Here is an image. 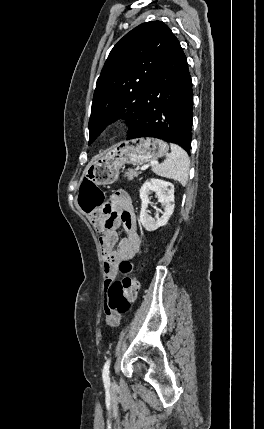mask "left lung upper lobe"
<instances>
[{"mask_svg":"<svg viewBox=\"0 0 264 429\" xmlns=\"http://www.w3.org/2000/svg\"><path fill=\"white\" fill-rule=\"evenodd\" d=\"M172 31L161 21L140 24L111 50L97 80L89 120V144L111 122L123 118L130 131L141 113Z\"/></svg>","mask_w":264,"mask_h":429,"instance_id":"left-lung-upper-lobe-1","label":"left lung upper lobe"}]
</instances>
